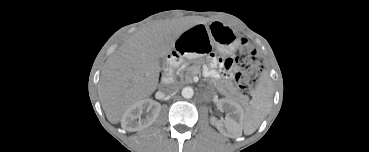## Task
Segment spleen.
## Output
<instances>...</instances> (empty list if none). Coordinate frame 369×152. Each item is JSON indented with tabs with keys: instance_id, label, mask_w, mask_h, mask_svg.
Returning <instances> with one entry per match:
<instances>
[{
	"instance_id": "spleen-1",
	"label": "spleen",
	"mask_w": 369,
	"mask_h": 152,
	"mask_svg": "<svg viewBox=\"0 0 369 152\" xmlns=\"http://www.w3.org/2000/svg\"><path fill=\"white\" fill-rule=\"evenodd\" d=\"M273 90L270 81L264 77L255 94L247 107L245 117L242 122L245 131L253 132L261 124L264 117L268 114L272 104Z\"/></svg>"
}]
</instances>
